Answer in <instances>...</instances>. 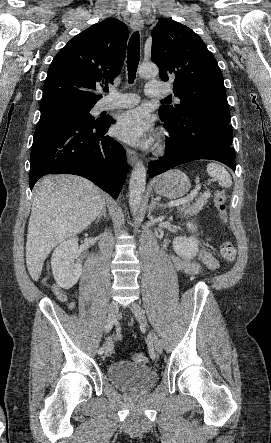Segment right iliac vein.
Instances as JSON below:
<instances>
[{"label": "right iliac vein", "instance_id": "63e3f726", "mask_svg": "<svg viewBox=\"0 0 271 443\" xmlns=\"http://www.w3.org/2000/svg\"><path fill=\"white\" fill-rule=\"evenodd\" d=\"M118 311V303L116 301H112L109 305V316L110 317H115L116 313ZM113 341L111 339H108L105 343V355L109 356L111 355L112 351H113Z\"/></svg>", "mask_w": 271, "mask_h": 443}]
</instances>
